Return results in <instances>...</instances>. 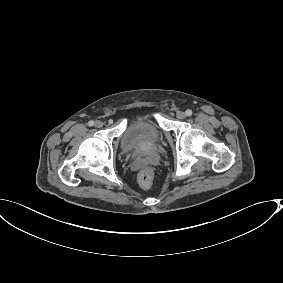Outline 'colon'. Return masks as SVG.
<instances>
[{"label": "colon", "mask_w": 283, "mask_h": 283, "mask_svg": "<svg viewBox=\"0 0 283 283\" xmlns=\"http://www.w3.org/2000/svg\"><path fill=\"white\" fill-rule=\"evenodd\" d=\"M154 179L153 170L149 167L142 169L138 175V182L142 188L148 189L152 186Z\"/></svg>", "instance_id": "5ec220e1"}]
</instances>
